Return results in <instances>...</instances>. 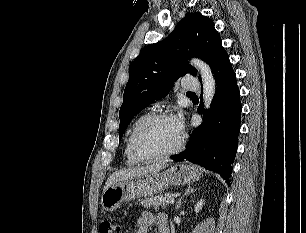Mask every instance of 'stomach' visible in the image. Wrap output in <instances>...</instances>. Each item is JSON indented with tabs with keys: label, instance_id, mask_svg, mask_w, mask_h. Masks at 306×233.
Here are the masks:
<instances>
[{
	"label": "stomach",
	"instance_id": "0dacf381",
	"mask_svg": "<svg viewBox=\"0 0 306 233\" xmlns=\"http://www.w3.org/2000/svg\"><path fill=\"white\" fill-rule=\"evenodd\" d=\"M203 175L201 168L176 164L164 171L119 181L109 186L102 194L101 204L106 211L118 209L123 202L162 192L170 186L195 182Z\"/></svg>",
	"mask_w": 306,
	"mask_h": 233
}]
</instances>
